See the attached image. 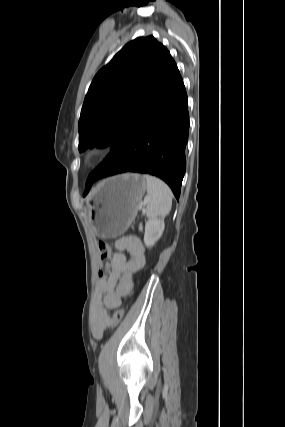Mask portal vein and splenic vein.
<instances>
[{
  "label": "portal vein and splenic vein",
  "instance_id": "1",
  "mask_svg": "<svg viewBox=\"0 0 285 427\" xmlns=\"http://www.w3.org/2000/svg\"><path fill=\"white\" fill-rule=\"evenodd\" d=\"M147 200L144 202V204H146ZM143 212H145V209H142Z\"/></svg>",
  "mask_w": 285,
  "mask_h": 427
}]
</instances>
